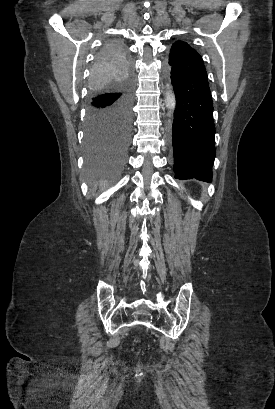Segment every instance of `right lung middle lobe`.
<instances>
[{
  "label": "right lung middle lobe",
  "mask_w": 275,
  "mask_h": 409,
  "mask_svg": "<svg viewBox=\"0 0 275 409\" xmlns=\"http://www.w3.org/2000/svg\"><path fill=\"white\" fill-rule=\"evenodd\" d=\"M131 56L116 39H106L96 52L88 82L83 148L86 182L122 181L118 171L130 146L132 127Z\"/></svg>",
  "instance_id": "dd1d6c3e"
}]
</instances>
